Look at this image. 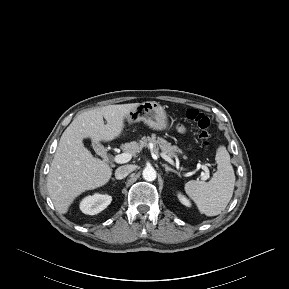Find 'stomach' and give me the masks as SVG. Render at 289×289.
Masks as SVG:
<instances>
[{"instance_id":"1","label":"stomach","mask_w":289,"mask_h":289,"mask_svg":"<svg viewBox=\"0 0 289 289\" xmlns=\"http://www.w3.org/2000/svg\"><path fill=\"white\" fill-rule=\"evenodd\" d=\"M128 123L143 121L150 128L162 131L168 128L169 122L164 108L155 101L140 103L126 117Z\"/></svg>"}]
</instances>
